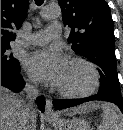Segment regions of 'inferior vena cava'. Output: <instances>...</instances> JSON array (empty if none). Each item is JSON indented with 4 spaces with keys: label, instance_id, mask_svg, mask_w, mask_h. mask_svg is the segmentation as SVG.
Here are the masks:
<instances>
[{
    "label": "inferior vena cava",
    "instance_id": "obj_1",
    "mask_svg": "<svg viewBox=\"0 0 123 130\" xmlns=\"http://www.w3.org/2000/svg\"><path fill=\"white\" fill-rule=\"evenodd\" d=\"M25 93H26V104L24 107V110L22 112V128L21 130H29V121H30V114L33 110L32 104L33 101L37 98L39 95V90L36 85L26 84L25 85Z\"/></svg>",
    "mask_w": 123,
    "mask_h": 130
}]
</instances>
